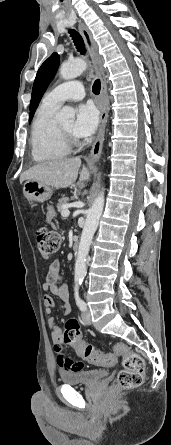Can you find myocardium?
Listing matches in <instances>:
<instances>
[{
  "label": "myocardium",
  "mask_w": 171,
  "mask_h": 445,
  "mask_svg": "<svg viewBox=\"0 0 171 445\" xmlns=\"http://www.w3.org/2000/svg\"><path fill=\"white\" fill-rule=\"evenodd\" d=\"M56 128L61 141L68 149H72L80 145L79 139L65 131L60 124L57 123Z\"/></svg>",
  "instance_id": "myocardium-1"
}]
</instances>
